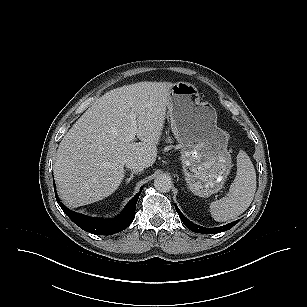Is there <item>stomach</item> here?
<instances>
[{
  "instance_id": "obj_1",
  "label": "stomach",
  "mask_w": 307,
  "mask_h": 307,
  "mask_svg": "<svg viewBox=\"0 0 307 307\" xmlns=\"http://www.w3.org/2000/svg\"><path fill=\"white\" fill-rule=\"evenodd\" d=\"M171 129L181 149L188 188L200 197L219 192L232 167L228 134L217 126V113L201 101L188 82L173 84L168 101Z\"/></svg>"
}]
</instances>
